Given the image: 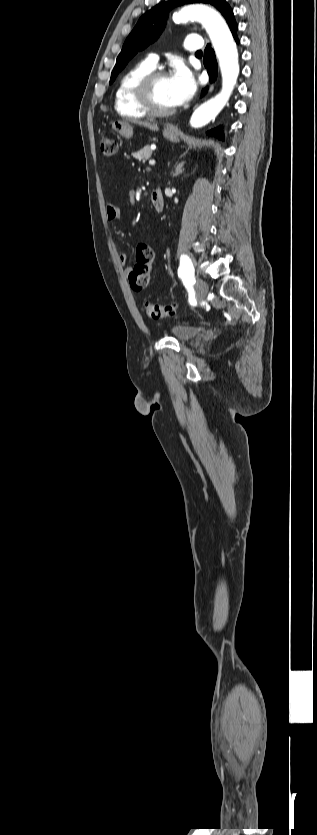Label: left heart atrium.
Returning a JSON list of instances; mask_svg holds the SVG:
<instances>
[{
	"instance_id": "obj_1",
	"label": "left heart atrium",
	"mask_w": 317,
	"mask_h": 835,
	"mask_svg": "<svg viewBox=\"0 0 317 835\" xmlns=\"http://www.w3.org/2000/svg\"><path fill=\"white\" fill-rule=\"evenodd\" d=\"M169 87L174 106L187 102L195 93L196 82L191 72L183 65L176 68L169 78Z\"/></svg>"
}]
</instances>
